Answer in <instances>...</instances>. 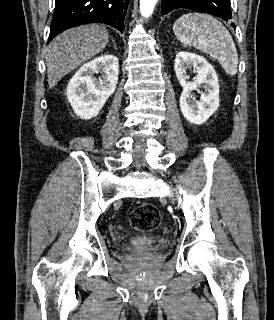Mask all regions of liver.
I'll list each match as a JSON object with an SVG mask.
<instances>
[{
	"label": "liver",
	"mask_w": 274,
	"mask_h": 320,
	"mask_svg": "<svg viewBox=\"0 0 274 320\" xmlns=\"http://www.w3.org/2000/svg\"><path fill=\"white\" fill-rule=\"evenodd\" d=\"M107 44L109 34L105 26L99 24L78 26L56 36L46 50L49 88H55L66 74L103 52Z\"/></svg>",
	"instance_id": "6515ba94"
}]
</instances>
